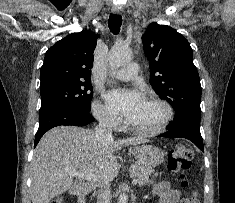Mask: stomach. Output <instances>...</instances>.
<instances>
[{
  "instance_id": "obj_1",
  "label": "stomach",
  "mask_w": 235,
  "mask_h": 203,
  "mask_svg": "<svg viewBox=\"0 0 235 203\" xmlns=\"http://www.w3.org/2000/svg\"><path fill=\"white\" fill-rule=\"evenodd\" d=\"M129 151L134 154L142 166L155 167L164 160V153L152 145H141L130 148Z\"/></svg>"
}]
</instances>
